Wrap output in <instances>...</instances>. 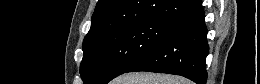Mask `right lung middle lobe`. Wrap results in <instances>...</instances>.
Segmentation results:
<instances>
[{"label": "right lung middle lobe", "mask_w": 260, "mask_h": 84, "mask_svg": "<svg viewBox=\"0 0 260 84\" xmlns=\"http://www.w3.org/2000/svg\"><path fill=\"white\" fill-rule=\"evenodd\" d=\"M173 23L144 20L108 31L83 44L80 73L84 84H106L126 72L166 34Z\"/></svg>", "instance_id": "obj_1"}]
</instances>
